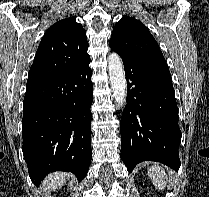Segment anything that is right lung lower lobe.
I'll use <instances>...</instances> for the list:
<instances>
[{"instance_id": "98d812e1", "label": "right lung lower lobe", "mask_w": 209, "mask_h": 197, "mask_svg": "<svg viewBox=\"0 0 209 197\" xmlns=\"http://www.w3.org/2000/svg\"><path fill=\"white\" fill-rule=\"evenodd\" d=\"M90 57L66 73L26 88L23 155L34 184L53 171L80 181L91 163L92 82Z\"/></svg>"}]
</instances>
